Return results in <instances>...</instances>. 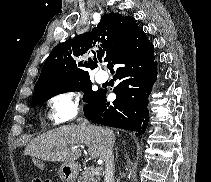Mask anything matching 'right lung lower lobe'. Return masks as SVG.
<instances>
[{
    "label": "right lung lower lobe",
    "mask_w": 211,
    "mask_h": 182,
    "mask_svg": "<svg viewBox=\"0 0 211 182\" xmlns=\"http://www.w3.org/2000/svg\"><path fill=\"white\" fill-rule=\"evenodd\" d=\"M154 46L141 32L115 53L112 65L120 83L113 102L106 101V89L98 90L84 106V115L101 125L123 128L142 135L149 122L148 96L157 78Z\"/></svg>",
    "instance_id": "right-lung-lower-lobe-1"
}]
</instances>
